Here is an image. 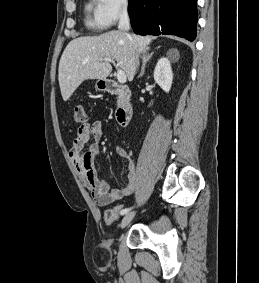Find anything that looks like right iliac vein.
Wrapping results in <instances>:
<instances>
[{"mask_svg": "<svg viewBox=\"0 0 259 283\" xmlns=\"http://www.w3.org/2000/svg\"><path fill=\"white\" fill-rule=\"evenodd\" d=\"M135 216V212H129L127 213L121 220V223H120V227L123 229L125 228L126 226L129 225V223L132 221V219L134 218Z\"/></svg>", "mask_w": 259, "mask_h": 283, "instance_id": "63e3f726", "label": "right iliac vein"}]
</instances>
